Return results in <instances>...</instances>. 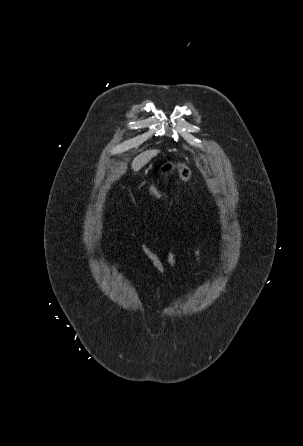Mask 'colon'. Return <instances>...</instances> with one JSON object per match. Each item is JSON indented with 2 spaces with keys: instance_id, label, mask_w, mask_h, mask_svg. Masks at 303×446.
<instances>
[{
  "instance_id": "1",
  "label": "colon",
  "mask_w": 303,
  "mask_h": 446,
  "mask_svg": "<svg viewBox=\"0 0 303 446\" xmlns=\"http://www.w3.org/2000/svg\"><path fill=\"white\" fill-rule=\"evenodd\" d=\"M177 173L185 181H189L191 179V171L184 165L177 166ZM163 192V185L159 181L155 182L150 189V194L154 197L160 196L161 194H163Z\"/></svg>"
}]
</instances>
